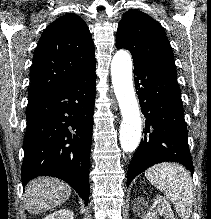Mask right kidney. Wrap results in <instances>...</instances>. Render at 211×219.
Wrapping results in <instances>:
<instances>
[{"label":"right kidney","mask_w":211,"mask_h":219,"mask_svg":"<svg viewBox=\"0 0 211 219\" xmlns=\"http://www.w3.org/2000/svg\"><path fill=\"white\" fill-rule=\"evenodd\" d=\"M43 219H74V214L71 210L60 209L46 216Z\"/></svg>","instance_id":"1"}]
</instances>
